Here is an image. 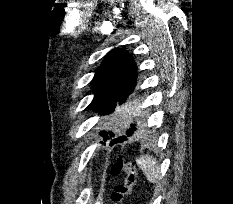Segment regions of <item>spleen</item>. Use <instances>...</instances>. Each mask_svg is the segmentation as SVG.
<instances>
[{
    "label": "spleen",
    "instance_id": "1",
    "mask_svg": "<svg viewBox=\"0 0 233 204\" xmlns=\"http://www.w3.org/2000/svg\"><path fill=\"white\" fill-rule=\"evenodd\" d=\"M136 162L150 183L157 184L160 181L161 172L156 159L150 155H144L136 159Z\"/></svg>",
    "mask_w": 233,
    "mask_h": 204
}]
</instances>
